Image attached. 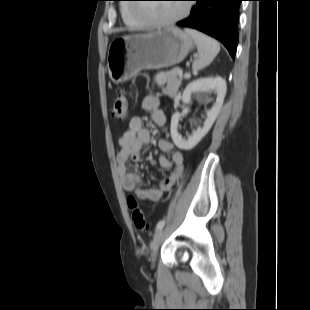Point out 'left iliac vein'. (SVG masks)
I'll use <instances>...</instances> for the list:
<instances>
[{
    "instance_id": "4c4485c4",
    "label": "left iliac vein",
    "mask_w": 310,
    "mask_h": 310,
    "mask_svg": "<svg viewBox=\"0 0 310 310\" xmlns=\"http://www.w3.org/2000/svg\"><path fill=\"white\" fill-rule=\"evenodd\" d=\"M167 233V229L166 228H162L160 229L154 236L151 244H150V251H151V261L154 264L156 261V255H157V251L160 247V245L162 244L165 236Z\"/></svg>"
}]
</instances>
